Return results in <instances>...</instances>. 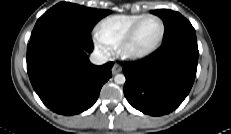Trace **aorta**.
I'll list each match as a JSON object with an SVG mask.
<instances>
[{
	"instance_id": "obj_1",
	"label": "aorta",
	"mask_w": 231,
	"mask_h": 134,
	"mask_svg": "<svg viewBox=\"0 0 231 134\" xmlns=\"http://www.w3.org/2000/svg\"><path fill=\"white\" fill-rule=\"evenodd\" d=\"M114 81L115 83L117 84H124L125 81H126V78L123 74H117L115 77H114Z\"/></svg>"
}]
</instances>
